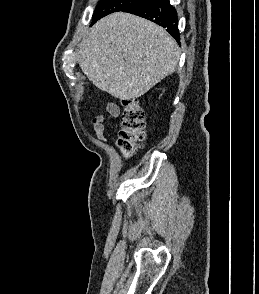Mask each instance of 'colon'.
Masks as SVG:
<instances>
[{
    "instance_id": "obj_1",
    "label": "colon",
    "mask_w": 259,
    "mask_h": 294,
    "mask_svg": "<svg viewBox=\"0 0 259 294\" xmlns=\"http://www.w3.org/2000/svg\"><path fill=\"white\" fill-rule=\"evenodd\" d=\"M121 118L118 142L123 152L129 156L145 139V113L137 99H126L122 102Z\"/></svg>"
}]
</instances>
